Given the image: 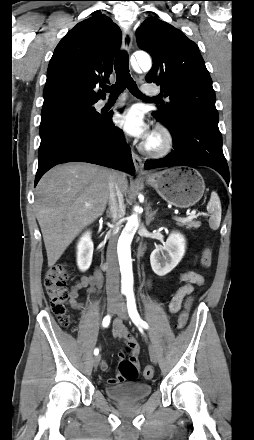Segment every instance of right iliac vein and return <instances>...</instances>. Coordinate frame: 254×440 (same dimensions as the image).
Here are the masks:
<instances>
[{
	"instance_id": "1",
	"label": "right iliac vein",
	"mask_w": 254,
	"mask_h": 440,
	"mask_svg": "<svg viewBox=\"0 0 254 440\" xmlns=\"http://www.w3.org/2000/svg\"><path fill=\"white\" fill-rule=\"evenodd\" d=\"M116 308H117V307H116V305H115L114 303H109L108 306H107V312H108V314H113V313H115ZM100 360H101V356H100V355H96V356L93 358V365H94L95 368L98 367V365H99V363H100Z\"/></svg>"
}]
</instances>
